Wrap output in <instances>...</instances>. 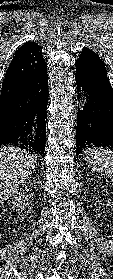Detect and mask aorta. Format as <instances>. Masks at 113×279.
I'll use <instances>...</instances> for the list:
<instances>
[{
	"instance_id": "aorta-1",
	"label": "aorta",
	"mask_w": 113,
	"mask_h": 279,
	"mask_svg": "<svg viewBox=\"0 0 113 279\" xmlns=\"http://www.w3.org/2000/svg\"><path fill=\"white\" fill-rule=\"evenodd\" d=\"M86 103V96L84 92H81V96H80V106L84 107Z\"/></svg>"
}]
</instances>
